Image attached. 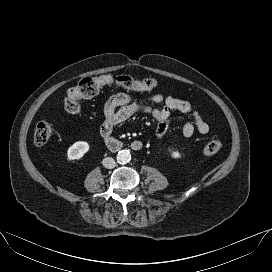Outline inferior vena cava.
<instances>
[{
    "mask_svg": "<svg viewBox=\"0 0 272 272\" xmlns=\"http://www.w3.org/2000/svg\"><path fill=\"white\" fill-rule=\"evenodd\" d=\"M102 164L105 168L112 169L116 166V162L112 157H106L103 159Z\"/></svg>",
    "mask_w": 272,
    "mask_h": 272,
    "instance_id": "obj_1",
    "label": "inferior vena cava"
}]
</instances>
